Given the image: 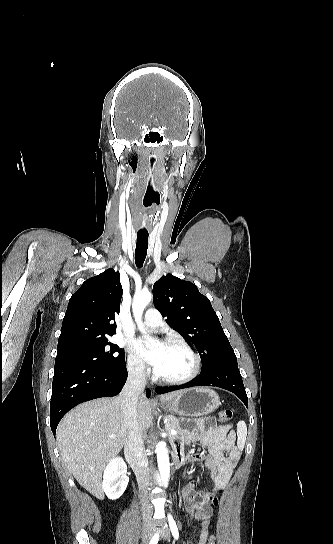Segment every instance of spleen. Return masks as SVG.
<instances>
[{"label": "spleen", "mask_w": 333, "mask_h": 544, "mask_svg": "<svg viewBox=\"0 0 333 544\" xmlns=\"http://www.w3.org/2000/svg\"><path fill=\"white\" fill-rule=\"evenodd\" d=\"M237 436L238 445L241 447L244 445L247 436V426L243 420L239 421L237 424Z\"/></svg>", "instance_id": "obj_1"}]
</instances>
